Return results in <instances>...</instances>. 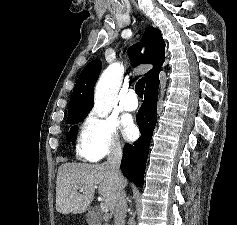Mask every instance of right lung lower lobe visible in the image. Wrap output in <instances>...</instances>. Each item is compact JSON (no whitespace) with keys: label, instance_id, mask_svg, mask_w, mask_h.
Masks as SVG:
<instances>
[{"label":"right lung lower lobe","instance_id":"98d812e1","mask_svg":"<svg viewBox=\"0 0 237 225\" xmlns=\"http://www.w3.org/2000/svg\"><path fill=\"white\" fill-rule=\"evenodd\" d=\"M158 84L145 88L144 102L136 115L141 136L133 144H125L121 162L124 176L137 186H142L148 157V147L151 142L157 120Z\"/></svg>","mask_w":237,"mask_h":225}]
</instances>
